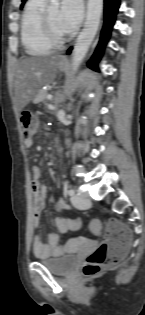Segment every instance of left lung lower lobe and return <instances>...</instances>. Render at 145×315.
<instances>
[{
	"label": "left lung lower lobe",
	"mask_w": 145,
	"mask_h": 315,
	"mask_svg": "<svg viewBox=\"0 0 145 315\" xmlns=\"http://www.w3.org/2000/svg\"><path fill=\"white\" fill-rule=\"evenodd\" d=\"M104 2H105V8H104L105 15H104V25L101 32L100 43L94 55L88 62V66L94 70H97V63L102 54L103 47L110 36L111 28L114 25V21H115V15L118 11L119 4H120V0H104ZM71 50L72 48L69 49L68 54L71 52Z\"/></svg>",
	"instance_id": "1"
}]
</instances>
